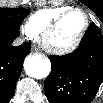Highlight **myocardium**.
<instances>
[{
  "label": "myocardium",
  "instance_id": "f54148a6",
  "mask_svg": "<svg viewBox=\"0 0 103 103\" xmlns=\"http://www.w3.org/2000/svg\"><path fill=\"white\" fill-rule=\"evenodd\" d=\"M74 12H80L84 16V28L82 32L80 33L79 37L69 46L62 47V48H56L53 47L49 44V37L51 34L57 29V27L60 25V23L70 14ZM90 21L88 14L82 9V8H70L58 16H56L48 25L47 27L43 30L42 34L40 35V44L41 46L49 53L55 54V55H65L69 54L73 51H75L82 43L84 40L87 31L89 29Z\"/></svg>",
  "mask_w": 103,
  "mask_h": 103
}]
</instances>
